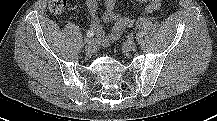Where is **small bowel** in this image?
<instances>
[{"label":"small bowel","instance_id":"small-bowel-1","mask_svg":"<svg viewBox=\"0 0 217 121\" xmlns=\"http://www.w3.org/2000/svg\"><path fill=\"white\" fill-rule=\"evenodd\" d=\"M117 0H85V5L91 16V30L97 37V42L101 45H108L109 43L119 39L123 32L131 28L135 20L131 17L124 16L116 11ZM136 2L145 4V11L149 14L155 12L161 7L162 0H135ZM99 3H102L105 10L100 17ZM101 20L105 23H114L111 31L105 33Z\"/></svg>","mask_w":217,"mask_h":121}]
</instances>
